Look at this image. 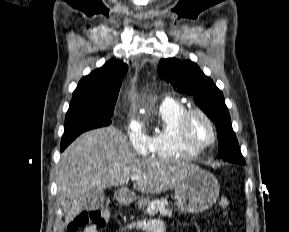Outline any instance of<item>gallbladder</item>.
Here are the masks:
<instances>
[{"label": "gallbladder", "instance_id": "1", "mask_svg": "<svg viewBox=\"0 0 289 232\" xmlns=\"http://www.w3.org/2000/svg\"><path fill=\"white\" fill-rule=\"evenodd\" d=\"M104 193L103 191H97L92 188L86 193V202L84 209L87 211H94L100 209L104 204Z\"/></svg>", "mask_w": 289, "mask_h": 232}]
</instances>
